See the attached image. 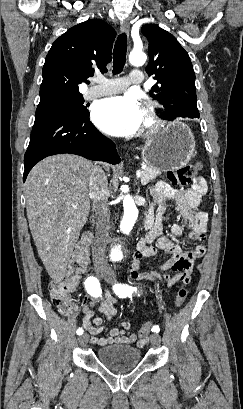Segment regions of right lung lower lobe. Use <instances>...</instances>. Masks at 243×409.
I'll list each match as a JSON object with an SVG mask.
<instances>
[{
  "mask_svg": "<svg viewBox=\"0 0 243 409\" xmlns=\"http://www.w3.org/2000/svg\"><path fill=\"white\" fill-rule=\"evenodd\" d=\"M71 153L111 164L120 162L115 144L90 122L89 114L78 116L53 111L35 114L30 143L24 156L23 181L43 158Z\"/></svg>",
  "mask_w": 243,
  "mask_h": 409,
  "instance_id": "right-lung-lower-lobe-1",
  "label": "right lung lower lobe"
}]
</instances>
